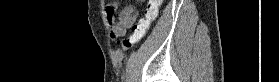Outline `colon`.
<instances>
[{"label": "colon", "mask_w": 279, "mask_h": 82, "mask_svg": "<svg viewBox=\"0 0 279 82\" xmlns=\"http://www.w3.org/2000/svg\"><path fill=\"white\" fill-rule=\"evenodd\" d=\"M161 2V0L147 1V8L144 17L132 26L131 34L121 41V45L124 50L132 48L144 38L150 23L157 17L158 7Z\"/></svg>", "instance_id": "colon-1"}]
</instances>
